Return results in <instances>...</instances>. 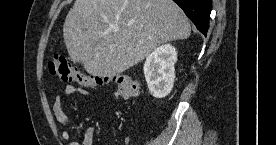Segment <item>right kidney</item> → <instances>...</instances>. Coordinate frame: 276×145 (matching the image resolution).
<instances>
[{"mask_svg": "<svg viewBox=\"0 0 276 145\" xmlns=\"http://www.w3.org/2000/svg\"><path fill=\"white\" fill-rule=\"evenodd\" d=\"M177 53L171 44L156 48L144 64V75L150 93L155 98H164L172 90L175 79L174 64Z\"/></svg>", "mask_w": 276, "mask_h": 145, "instance_id": "1", "label": "right kidney"}]
</instances>
